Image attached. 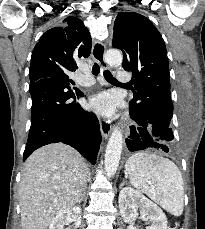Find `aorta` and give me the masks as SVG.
<instances>
[{
	"mask_svg": "<svg viewBox=\"0 0 205 229\" xmlns=\"http://www.w3.org/2000/svg\"><path fill=\"white\" fill-rule=\"evenodd\" d=\"M122 60V53L117 49H110L105 53V61L111 67L121 65ZM122 147L123 135L121 130L116 127L111 133L104 156L105 172L109 177L115 175L118 169Z\"/></svg>",
	"mask_w": 205,
	"mask_h": 229,
	"instance_id": "762f6f07",
	"label": "aorta"
}]
</instances>
